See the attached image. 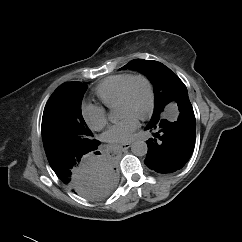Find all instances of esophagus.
Returning a JSON list of instances; mask_svg holds the SVG:
<instances>
[{
    "label": "esophagus",
    "instance_id": "34e87169",
    "mask_svg": "<svg viewBox=\"0 0 242 242\" xmlns=\"http://www.w3.org/2000/svg\"><path fill=\"white\" fill-rule=\"evenodd\" d=\"M131 147V143H124L120 145V148L124 151Z\"/></svg>",
    "mask_w": 242,
    "mask_h": 242
}]
</instances>
